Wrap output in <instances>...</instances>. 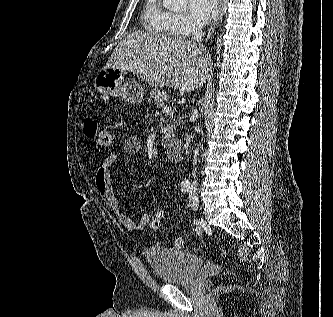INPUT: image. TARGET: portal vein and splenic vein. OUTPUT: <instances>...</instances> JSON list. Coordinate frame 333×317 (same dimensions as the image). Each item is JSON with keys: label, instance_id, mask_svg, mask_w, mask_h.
Returning a JSON list of instances; mask_svg holds the SVG:
<instances>
[{"label": "portal vein and splenic vein", "instance_id": "1", "mask_svg": "<svg viewBox=\"0 0 333 317\" xmlns=\"http://www.w3.org/2000/svg\"><path fill=\"white\" fill-rule=\"evenodd\" d=\"M162 112L168 114V113L172 112V108L168 107V106H164L162 108Z\"/></svg>", "mask_w": 333, "mask_h": 317}]
</instances>
